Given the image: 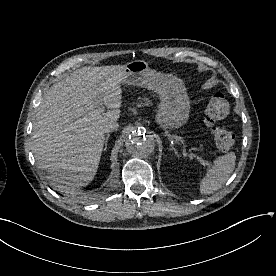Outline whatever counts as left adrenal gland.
<instances>
[{
	"instance_id": "obj_1",
	"label": "left adrenal gland",
	"mask_w": 276,
	"mask_h": 276,
	"mask_svg": "<svg viewBox=\"0 0 276 276\" xmlns=\"http://www.w3.org/2000/svg\"><path fill=\"white\" fill-rule=\"evenodd\" d=\"M171 150L174 151V153H175L176 155H178V152L176 151V149H175L173 146H171Z\"/></svg>"
}]
</instances>
